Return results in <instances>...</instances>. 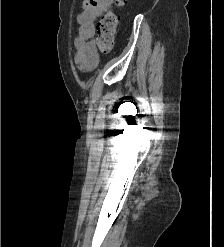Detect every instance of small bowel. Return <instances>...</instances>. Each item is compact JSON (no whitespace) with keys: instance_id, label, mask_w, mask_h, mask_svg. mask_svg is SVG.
<instances>
[{"instance_id":"1","label":"small bowel","mask_w":224,"mask_h":247,"mask_svg":"<svg viewBox=\"0 0 224 247\" xmlns=\"http://www.w3.org/2000/svg\"><path fill=\"white\" fill-rule=\"evenodd\" d=\"M113 0H84L77 16L78 35L75 39V63L79 69H93L98 62L97 45L93 40L95 21L107 11Z\"/></svg>"}]
</instances>
